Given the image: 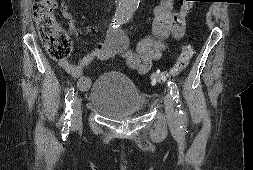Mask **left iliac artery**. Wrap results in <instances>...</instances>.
Returning a JSON list of instances; mask_svg holds the SVG:
<instances>
[{"instance_id":"left-iliac-artery-1","label":"left iliac artery","mask_w":253,"mask_h":170,"mask_svg":"<svg viewBox=\"0 0 253 170\" xmlns=\"http://www.w3.org/2000/svg\"><path fill=\"white\" fill-rule=\"evenodd\" d=\"M130 17H131V16L128 15V17H127L126 20H124V21L129 20ZM168 86H169V88H170V94L172 95L173 100H175L176 103H178V102H179V90H178L176 84H174L173 82L170 81V82H168ZM180 106H181V105H178V106H177V107L179 108V110L176 111V112H177V115H178V118H179V120L181 121V126H180V128H181V130H182L183 132H187L186 115H185V113H184L182 110H180Z\"/></svg>"}]
</instances>
